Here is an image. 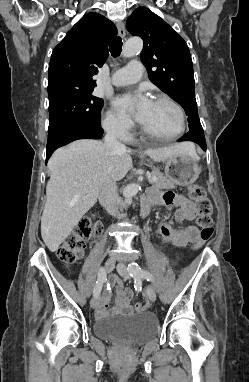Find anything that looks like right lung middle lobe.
I'll return each instance as SVG.
<instances>
[{
	"label": "right lung middle lobe",
	"mask_w": 249,
	"mask_h": 382,
	"mask_svg": "<svg viewBox=\"0 0 249 382\" xmlns=\"http://www.w3.org/2000/svg\"><path fill=\"white\" fill-rule=\"evenodd\" d=\"M103 104V100L92 93L69 96L49 103L48 133L77 123H100Z\"/></svg>",
	"instance_id": "dd1d6c3e"
}]
</instances>
